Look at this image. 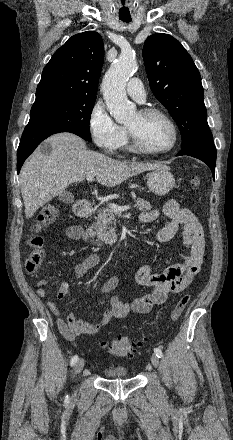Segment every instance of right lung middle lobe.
<instances>
[{"label":"right lung middle lobe","mask_w":233,"mask_h":440,"mask_svg":"<svg viewBox=\"0 0 233 440\" xmlns=\"http://www.w3.org/2000/svg\"><path fill=\"white\" fill-rule=\"evenodd\" d=\"M95 100L57 97L34 103L27 127L67 129L91 141L89 123Z\"/></svg>","instance_id":"obj_1"}]
</instances>
